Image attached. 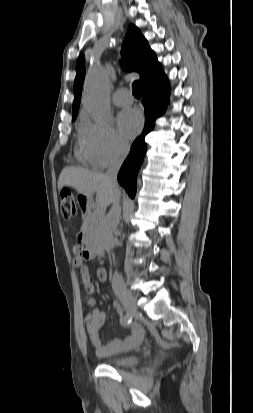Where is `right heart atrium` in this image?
Segmentation results:
<instances>
[{"label":"right heart atrium","mask_w":253,"mask_h":413,"mask_svg":"<svg viewBox=\"0 0 253 413\" xmlns=\"http://www.w3.org/2000/svg\"><path fill=\"white\" fill-rule=\"evenodd\" d=\"M81 144L90 164L105 168L122 159L128 151V143L109 123H88L83 129Z\"/></svg>","instance_id":"1"}]
</instances>
